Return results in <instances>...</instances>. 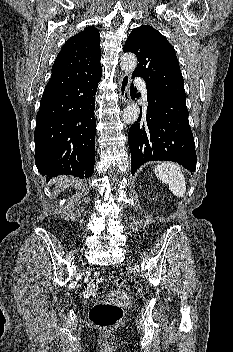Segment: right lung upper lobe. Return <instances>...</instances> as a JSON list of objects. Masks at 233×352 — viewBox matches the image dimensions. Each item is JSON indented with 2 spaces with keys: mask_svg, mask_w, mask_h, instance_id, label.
Segmentation results:
<instances>
[{
  "mask_svg": "<svg viewBox=\"0 0 233 352\" xmlns=\"http://www.w3.org/2000/svg\"><path fill=\"white\" fill-rule=\"evenodd\" d=\"M99 31L87 27L69 38L57 55L44 91L67 87L102 72Z\"/></svg>",
  "mask_w": 233,
  "mask_h": 352,
  "instance_id": "obj_1",
  "label": "right lung upper lobe"
}]
</instances>
